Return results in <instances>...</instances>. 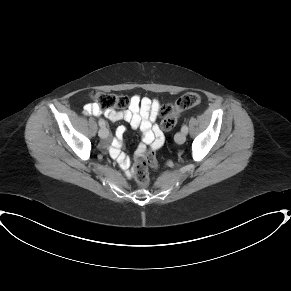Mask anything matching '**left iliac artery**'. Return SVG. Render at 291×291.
<instances>
[{"instance_id":"1","label":"left iliac artery","mask_w":291,"mask_h":291,"mask_svg":"<svg viewBox=\"0 0 291 291\" xmlns=\"http://www.w3.org/2000/svg\"><path fill=\"white\" fill-rule=\"evenodd\" d=\"M181 131L184 132L185 134H187V132H188V127H187L186 124H184V125L182 126Z\"/></svg>"}]
</instances>
